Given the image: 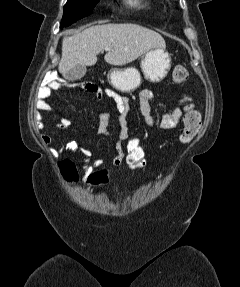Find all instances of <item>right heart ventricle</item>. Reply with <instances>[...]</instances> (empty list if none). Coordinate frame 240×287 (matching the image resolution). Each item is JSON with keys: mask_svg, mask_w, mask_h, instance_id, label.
<instances>
[{"mask_svg": "<svg viewBox=\"0 0 240 287\" xmlns=\"http://www.w3.org/2000/svg\"><path fill=\"white\" fill-rule=\"evenodd\" d=\"M124 2L129 6L139 9H149L152 7L151 0H124Z\"/></svg>", "mask_w": 240, "mask_h": 287, "instance_id": "e07e8e85", "label": "right heart ventricle"}]
</instances>
